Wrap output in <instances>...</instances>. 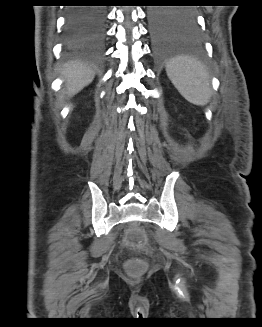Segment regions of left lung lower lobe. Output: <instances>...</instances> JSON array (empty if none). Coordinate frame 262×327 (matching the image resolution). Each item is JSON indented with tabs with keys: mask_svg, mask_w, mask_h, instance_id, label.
Returning <instances> with one entry per match:
<instances>
[{
	"mask_svg": "<svg viewBox=\"0 0 262 327\" xmlns=\"http://www.w3.org/2000/svg\"><path fill=\"white\" fill-rule=\"evenodd\" d=\"M154 52L200 55L204 44L192 11L186 8L152 7L148 13Z\"/></svg>",
	"mask_w": 262,
	"mask_h": 327,
	"instance_id": "1",
	"label": "left lung lower lobe"
}]
</instances>
